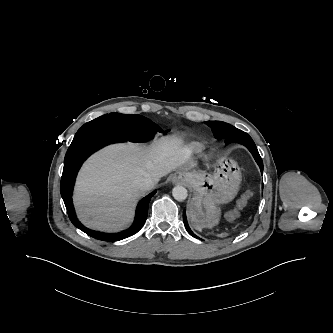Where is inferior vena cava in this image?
Here are the masks:
<instances>
[{"label":"inferior vena cava","instance_id":"602c4592","mask_svg":"<svg viewBox=\"0 0 333 333\" xmlns=\"http://www.w3.org/2000/svg\"><path fill=\"white\" fill-rule=\"evenodd\" d=\"M137 185L142 191H148L153 188L155 182L151 178H143L138 181Z\"/></svg>","mask_w":333,"mask_h":333}]
</instances>
